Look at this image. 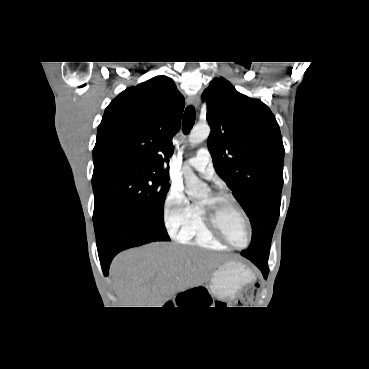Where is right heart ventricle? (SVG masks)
<instances>
[{"mask_svg": "<svg viewBox=\"0 0 369 369\" xmlns=\"http://www.w3.org/2000/svg\"><path fill=\"white\" fill-rule=\"evenodd\" d=\"M185 242H191L194 245L215 249L224 250L226 245L217 240L207 229L200 206L194 205V212L186 230L178 237Z\"/></svg>", "mask_w": 369, "mask_h": 369, "instance_id": "e07e8e85", "label": "right heart ventricle"}]
</instances>
